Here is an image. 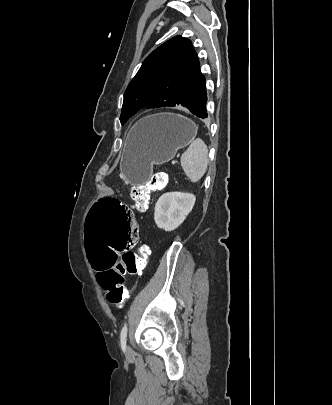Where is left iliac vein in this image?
<instances>
[{"mask_svg":"<svg viewBox=\"0 0 332 405\" xmlns=\"http://www.w3.org/2000/svg\"><path fill=\"white\" fill-rule=\"evenodd\" d=\"M125 351H126V355L128 357L132 356L133 351H132L131 347L127 346Z\"/></svg>","mask_w":332,"mask_h":405,"instance_id":"4c4485c4","label":"left iliac vein"}]
</instances>
